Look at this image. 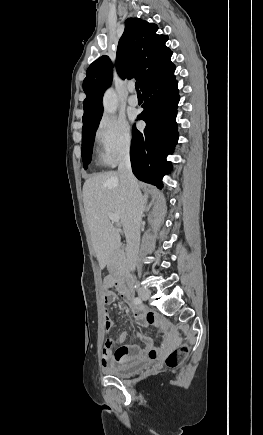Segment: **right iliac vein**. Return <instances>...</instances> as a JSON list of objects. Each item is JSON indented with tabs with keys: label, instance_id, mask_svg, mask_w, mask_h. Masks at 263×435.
<instances>
[{
	"label": "right iliac vein",
	"instance_id": "obj_1",
	"mask_svg": "<svg viewBox=\"0 0 263 435\" xmlns=\"http://www.w3.org/2000/svg\"><path fill=\"white\" fill-rule=\"evenodd\" d=\"M137 292H138L139 297L144 299V300L149 299L151 296V291L147 288H138Z\"/></svg>",
	"mask_w": 263,
	"mask_h": 435
}]
</instances>
